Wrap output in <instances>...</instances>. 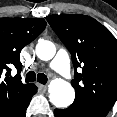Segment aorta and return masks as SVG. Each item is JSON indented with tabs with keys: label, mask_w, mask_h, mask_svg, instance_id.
<instances>
[{
	"label": "aorta",
	"mask_w": 117,
	"mask_h": 117,
	"mask_svg": "<svg viewBox=\"0 0 117 117\" xmlns=\"http://www.w3.org/2000/svg\"><path fill=\"white\" fill-rule=\"evenodd\" d=\"M55 53L56 48L51 41L42 40L36 45V54L41 60H50ZM74 98L75 91L69 82L57 78L49 84V99L55 107L66 108L73 103Z\"/></svg>",
	"instance_id": "1"
}]
</instances>
